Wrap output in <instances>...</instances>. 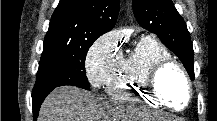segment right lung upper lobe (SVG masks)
Returning a JSON list of instances; mask_svg holds the SVG:
<instances>
[{
    "mask_svg": "<svg viewBox=\"0 0 217 121\" xmlns=\"http://www.w3.org/2000/svg\"><path fill=\"white\" fill-rule=\"evenodd\" d=\"M119 0H60L46 37L93 40L114 27Z\"/></svg>",
    "mask_w": 217,
    "mask_h": 121,
    "instance_id": "right-lung-upper-lobe-1",
    "label": "right lung upper lobe"
}]
</instances>
